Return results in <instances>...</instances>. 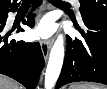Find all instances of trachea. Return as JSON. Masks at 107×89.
Returning a JSON list of instances; mask_svg holds the SVG:
<instances>
[{"mask_svg": "<svg viewBox=\"0 0 107 89\" xmlns=\"http://www.w3.org/2000/svg\"><path fill=\"white\" fill-rule=\"evenodd\" d=\"M53 5H62V6H69L68 3L62 1V0H48ZM31 0H22V5L30 4Z\"/></svg>", "mask_w": 107, "mask_h": 89, "instance_id": "3493384b", "label": "trachea"}]
</instances>
